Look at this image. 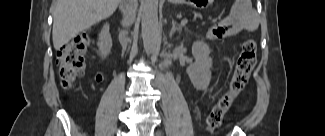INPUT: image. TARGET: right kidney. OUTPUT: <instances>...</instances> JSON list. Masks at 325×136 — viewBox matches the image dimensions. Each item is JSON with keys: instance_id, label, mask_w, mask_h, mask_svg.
<instances>
[{"instance_id": "ca27d5eb", "label": "right kidney", "mask_w": 325, "mask_h": 136, "mask_svg": "<svg viewBox=\"0 0 325 136\" xmlns=\"http://www.w3.org/2000/svg\"><path fill=\"white\" fill-rule=\"evenodd\" d=\"M98 47L102 57H106L110 53L112 39L109 33V24H105L99 34Z\"/></svg>"}]
</instances>
